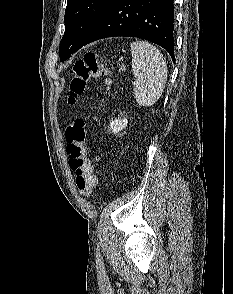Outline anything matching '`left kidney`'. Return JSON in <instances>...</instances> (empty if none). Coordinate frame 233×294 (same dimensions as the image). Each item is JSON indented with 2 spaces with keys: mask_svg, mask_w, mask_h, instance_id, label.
Here are the masks:
<instances>
[{
  "mask_svg": "<svg viewBox=\"0 0 233 294\" xmlns=\"http://www.w3.org/2000/svg\"><path fill=\"white\" fill-rule=\"evenodd\" d=\"M128 124V120L126 118H117L110 122V129L112 133L117 134L122 131Z\"/></svg>",
  "mask_w": 233,
  "mask_h": 294,
  "instance_id": "left-kidney-1",
  "label": "left kidney"
}]
</instances>
